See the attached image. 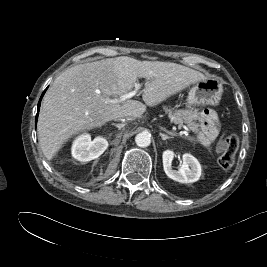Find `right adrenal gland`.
Listing matches in <instances>:
<instances>
[{
    "label": "right adrenal gland",
    "mask_w": 267,
    "mask_h": 267,
    "mask_svg": "<svg viewBox=\"0 0 267 267\" xmlns=\"http://www.w3.org/2000/svg\"><path fill=\"white\" fill-rule=\"evenodd\" d=\"M112 126H115L118 128V130H120L121 128H123L125 126V123H121V124L112 123Z\"/></svg>",
    "instance_id": "1"
}]
</instances>
